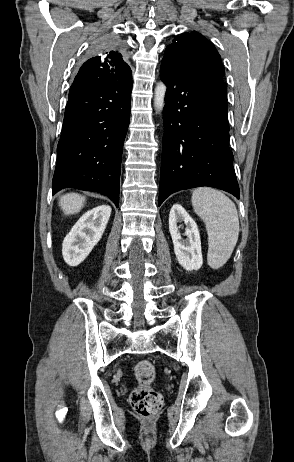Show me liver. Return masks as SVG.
Instances as JSON below:
<instances>
[{
    "label": "liver",
    "mask_w": 294,
    "mask_h": 462,
    "mask_svg": "<svg viewBox=\"0 0 294 462\" xmlns=\"http://www.w3.org/2000/svg\"><path fill=\"white\" fill-rule=\"evenodd\" d=\"M86 198L77 193H68L60 197L59 206L65 215H71L80 212L83 208Z\"/></svg>",
    "instance_id": "1"
}]
</instances>
